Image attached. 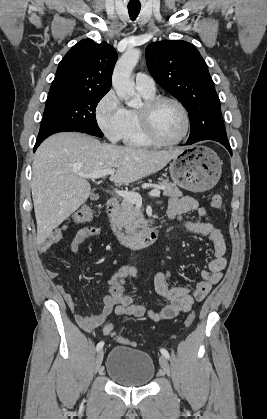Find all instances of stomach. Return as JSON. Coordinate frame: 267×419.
<instances>
[{
  "label": "stomach",
  "mask_w": 267,
  "mask_h": 419,
  "mask_svg": "<svg viewBox=\"0 0 267 419\" xmlns=\"http://www.w3.org/2000/svg\"><path fill=\"white\" fill-rule=\"evenodd\" d=\"M222 170L218 155L205 146L185 147L170 164L172 180L181 188L204 192L216 185Z\"/></svg>",
  "instance_id": "0dacf381"
}]
</instances>
